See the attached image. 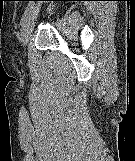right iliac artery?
<instances>
[{
  "mask_svg": "<svg viewBox=\"0 0 135 161\" xmlns=\"http://www.w3.org/2000/svg\"><path fill=\"white\" fill-rule=\"evenodd\" d=\"M33 5H34V4H30V5L26 8V10H25V12H24V14H23V16H22V19H21V26H22V27L25 26L27 20L30 18V15H31V12H32V9H33Z\"/></svg>",
  "mask_w": 135,
  "mask_h": 161,
  "instance_id": "right-iliac-artery-1",
  "label": "right iliac artery"
}]
</instances>
